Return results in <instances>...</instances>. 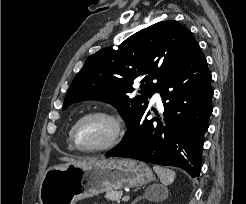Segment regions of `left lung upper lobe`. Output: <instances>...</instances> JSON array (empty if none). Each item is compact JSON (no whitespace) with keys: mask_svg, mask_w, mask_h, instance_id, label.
I'll return each mask as SVG.
<instances>
[{"mask_svg":"<svg viewBox=\"0 0 246 204\" xmlns=\"http://www.w3.org/2000/svg\"><path fill=\"white\" fill-rule=\"evenodd\" d=\"M196 44L186 27L176 21H163L135 33L117 50L101 49L87 58L74 78L63 110L74 102L101 100L114 105L130 125L148 107V97ZM142 76V90L135 97L129 96L134 91L133 80Z\"/></svg>","mask_w":246,"mask_h":204,"instance_id":"5c2ea615","label":"left lung upper lobe"}]
</instances>
